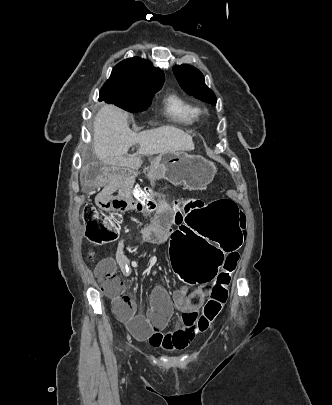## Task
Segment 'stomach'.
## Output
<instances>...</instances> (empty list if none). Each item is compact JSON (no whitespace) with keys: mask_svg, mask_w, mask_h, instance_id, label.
<instances>
[{"mask_svg":"<svg viewBox=\"0 0 332 405\" xmlns=\"http://www.w3.org/2000/svg\"><path fill=\"white\" fill-rule=\"evenodd\" d=\"M154 160L158 163L160 175L173 185H181L189 190L205 188L217 172L213 162L184 151L161 153Z\"/></svg>","mask_w":332,"mask_h":405,"instance_id":"0dacf381","label":"stomach"}]
</instances>
